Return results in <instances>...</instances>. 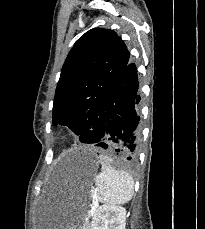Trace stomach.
<instances>
[{
    "mask_svg": "<svg viewBox=\"0 0 205 229\" xmlns=\"http://www.w3.org/2000/svg\"><path fill=\"white\" fill-rule=\"evenodd\" d=\"M98 163L96 154L86 151L81 153V171L88 182H91ZM89 200V192L85 194L81 202L72 204L56 196L39 200L34 211L35 229H80L85 216V207Z\"/></svg>",
    "mask_w": 205,
    "mask_h": 229,
    "instance_id": "obj_1",
    "label": "stomach"
}]
</instances>
